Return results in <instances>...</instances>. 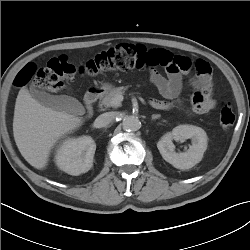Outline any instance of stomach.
<instances>
[{"label":"stomach","mask_w":250,"mask_h":250,"mask_svg":"<svg viewBox=\"0 0 250 250\" xmlns=\"http://www.w3.org/2000/svg\"><path fill=\"white\" fill-rule=\"evenodd\" d=\"M103 87H104L105 89H110V88H112V85L109 84V83H105V84L103 85Z\"/></svg>","instance_id":"stomach-1"}]
</instances>
